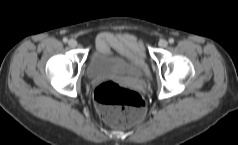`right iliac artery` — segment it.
I'll return each mask as SVG.
<instances>
[{
	"instance_id": "1",
	"label": "right iliac artery",
	"mask_w": 238,
	"mask_h": 145,
	"mask_svg": "<svg viewBox=\"0 0 238 145\" xmlns=\"http://www.w3.org/2000/svg\"><path fill=\"white\" fill-rule=\"evenodd\" d=\"M63 42H68V39L66 37L63 38Z\"/></svg>"
}]
</instances>
